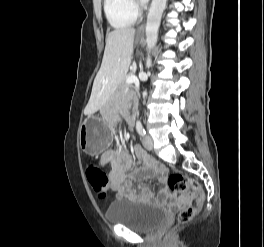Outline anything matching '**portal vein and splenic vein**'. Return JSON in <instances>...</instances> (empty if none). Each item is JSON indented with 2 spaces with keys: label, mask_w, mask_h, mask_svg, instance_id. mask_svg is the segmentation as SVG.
Returning <instances> with one entry per match:
<instances>
[{
  "label": "portal vein and splenic vein",
  "mask_w": 264,
  "mask_h": 247,
  "mask_svg": "<svg viewBox=\"0 0 264 247\" xmlns=\"http://www.w3.org/2000/svg\"><path fill=\"white\" fill-rule=\"evenodd\" d=\"M138 82V79L135 75H132V76H129L127 79H126V83L127 84H131V83H137Z\"/></svg>",
  "instance_id": "1"
}]
</instances>
